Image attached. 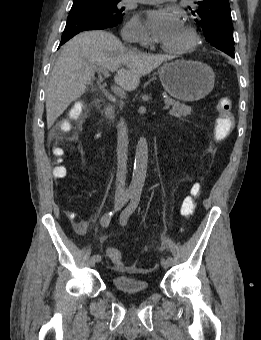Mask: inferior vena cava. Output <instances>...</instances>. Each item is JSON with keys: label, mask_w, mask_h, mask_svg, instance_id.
<instances>
[{"label": "inferior vena cava", "mask_w": 261, "mask_h": 340, "mask_svg": "<svg viewBox=\"0 0 261 340\" xmlns=\"http://www.w3.org/2000/svg\"><path fill=\"white\" fill-rule=\"evenodd\" d=\"M117 131V174L115 198H123L126 195V169L128 153V129L124 120L118 123Z\"/></svg>", "instance_id": "602c4592"}]
</instances>
